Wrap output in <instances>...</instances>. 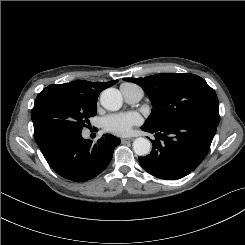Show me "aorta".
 I'll use <instances>...</instances> for the list:
<instances>
[{"mask_svg":"<svg viewBox=\"0 0 245 245\" xmlns=\"http://www.w3.org/2000/svg\"><path fill=\"white\" fill-rule=\"evenodd\" d=\"M101 105L110 111H117L122 106V95L115 88H108L101 93ZM133 150L139 156L147 155L151 150V143L147 138L139 137L133 142Z\"/></svg>","mask_w":245,"mask_h":245,"instance_id":"obj_1","label":"aorta"}]
</instances>
